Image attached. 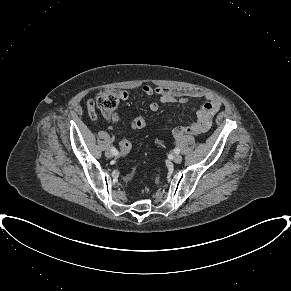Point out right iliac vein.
I'll return each mask as SVG.
<instances>
[{
    "instance_id": "obj_1",
    "label": "right iliac vein",
    "mask_w": 291,
    "mask_h": 291,
    "mask_svg": "<svg viewBox=\"0 0 291 291\" xmlns=\"http://www.w3.org/2000/svg\"><path fill=\"white\" fill-rule=\"evenodd\" d=\"M105 155H106V157H108V158H112V157L114 156V154H113V152H112L111 150H107V151L105 152Z\"/></svg>"
}]
</instances>
